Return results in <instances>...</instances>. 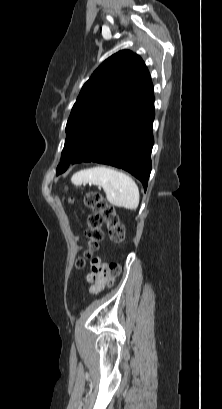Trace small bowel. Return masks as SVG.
Masks as SVG:
<instances>
[{
	"label": "small bowel",
	"instance_id": "obj_1",
	"mask_svg": "<svg viewBox=\"0 0 222 409\" xmlns=\"http://www.w3.org/2000/svg\"><path fill=\"white\" fill-rule=\"evenodd\" d=\"M90 262L92 264L91 273H89L87 280L91 284L90 293L95 294L100 292L109 282L107 271L110 268V261L105 260L103 256H92Z\"/></svg>",
	"mask_w": 222,
	"mask_h": 409
}]
</instances>
